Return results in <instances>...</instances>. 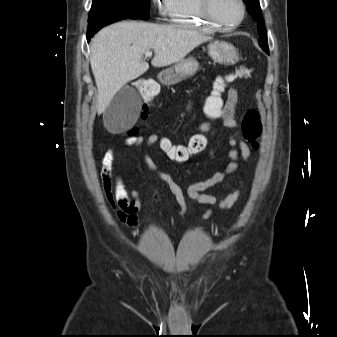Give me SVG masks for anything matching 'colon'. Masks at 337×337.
Returning <instances> with one entry per match:
<instances>
[{"instance_id":"colon-1","label":"colon","mask_w":337,"mask_h":337,"mask_svg":"<svg viewBox=\"0 0 337 337\" xmlns=\"http://www.w3.org/2000/svg\"><path fill=\"white\" fill-rule=\"evenodd\" d=\"M253 74V69L248 65H240L235 73L229 77L218 78L215 82V91H220L227 82L234 77L250 78ZM136 88L141 93L143 103H154L158 97L157 86L154 82L144 79L135 82ZM206 100L201 101L202 107H210L203 109V116H222L223 110L219 107L225 106V101L222 100V94H206ZM154 112L153 106L141 107V119H152ZM241 131L243 138L249 142L254 149L259 148V139L262 134V123L259 112L255 109L248 110L241 122ZM138 129H132L129 132L130 136H135ZM205 147V140L202 136L196 135L188 140L187 145L174 144L172 137H161L159 151H166V156H169V161H184L189 156L201 152Z\"/></svg>"}]
</instances>
